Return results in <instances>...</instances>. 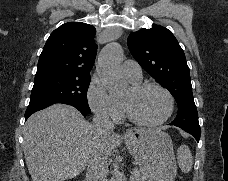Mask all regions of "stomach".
Here are the masks:
<instances>
[{
	"label": "stomach",
	"mask_w": 228,
	"mask_h": 181,
	"mask_svg": "<svg viewBox=\"0 0 228 181\" xmlns=\"http://www.w3.org/2000/svg\"><path fill=\"white\" fill-rule=\"evenodd\" d=\"M124 139L139 171H143L140 181H175L177 163L168 133L129 131Z\"/></svg>",
	"instance_id": "obj_1"
}]
</instances>
